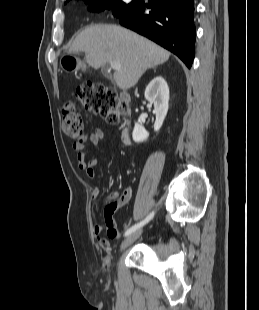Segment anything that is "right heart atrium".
<instances>
[{"label": "right heart atrium", "mask_w": 259, "mask_h": 310, "mask_svg": "<svg viewBox=\"0 0 259 310\" xmlns=\"http://www.w3.org/2000/svg\"><path fill=\"white\" fill-rule=\"evenodd\" d=\"M94 8L99 12H106L109 9L108 3L105 0H95Z\"/></svg>", "instance_id": "1"}]
</instances>
